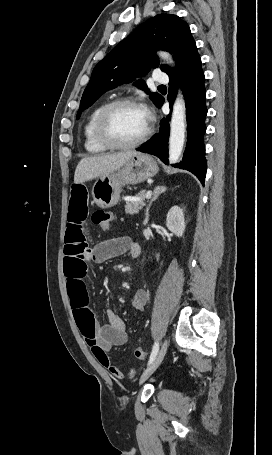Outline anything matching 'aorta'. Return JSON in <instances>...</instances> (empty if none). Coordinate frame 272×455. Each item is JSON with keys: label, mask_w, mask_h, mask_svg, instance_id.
Masks as SVG:
<instances>
[{"label": "aorta", "mask_w": 272, "mask_h": 455, "mask_svg": "<svg viewBox=\"0 0 272 455\" xmlns=\"http://www.w3.org/2000/svg\"><path fill=\"white\" fill-rule=\"evenodd\" d=\"M159 56L172 63L171 56L166 52H159ZM185 141V102L183 95L179 92L173 105L172 118L170 123L169 138V161L176 163L182 153Z\"/></svg>", "instance_id": "aorta-1"}]
</instances>
